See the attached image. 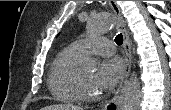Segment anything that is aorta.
I'll list each match as a JSON object with an SVG mask.
<instances>
[{
    "label": "aorta",
    "instance_id": "obj_1",
    "mask_svg": "<svg viewBox=\"0 0 171 110\" xmlns=\"http://www.w3.org/2000/svg\"><path fill=\"white\" fill-rule=\"evenodd\" d=\"M115 26V18L109 13L91 17L87 22V30L92 35H100L110 31ZM84 66L94 70L96 63L91 58H86ZM141 99V86L137 74L133 72L127 81L121 110H139Z\"/></svg>",
    "mask_w": 171,
    "mask_h": 110
}]
</instances>
